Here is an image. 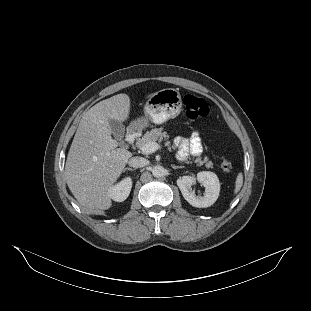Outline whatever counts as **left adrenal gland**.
Segmentation results:
<instances>
[{
    "label": "left adrenal gland",
    "mask_w": 311,
    "mask_h": 311,
    "mask_svg": "<svg viewBox=\"0 0 311 311\" xmlns=\"http://www.w3.org/2000/svg\"><path fill=\"white\" fill-rule=\"evenodd\" d=\"M171 167H172L173 169L184 168V166H175V165H171Z\"/></svg>",
    "instance_id": "obj_1"
}]
</instances>
